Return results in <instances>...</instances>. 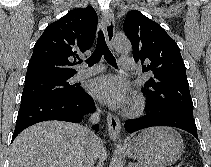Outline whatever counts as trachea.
<instances>
[{"instance_id":"obj_1","label":"trachea","mask_w":211,"mask_h":167,"mask_svg":"<svg viewBox=\"0 0 211 167\" xmlns=\"http://www.w3.org/2000/svg\"><path fill=\"white\" fill-rule=\"evenodd\" d=\"M102 55H104L105 60L109 64L117 68L115 58L110 52L109 48L107 47L104 34L100 30L98 33L97 47L95 51L93 52V54L86 60V62L88 63L89 66H92L93 64L97 63L101 59Z\"/></svg>"}]
</instances>
